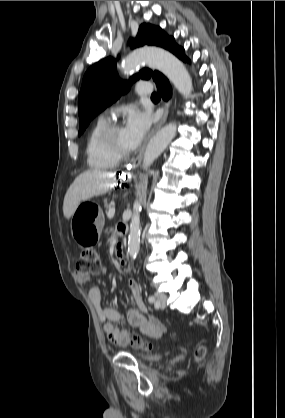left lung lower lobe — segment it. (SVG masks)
<instances>
[{
	"label": "left lung lower lobe",
	"instance_id": "1",
	"mask_svg": "<svg viewBox=\"0 0 285 418\" xmlns=\"http://www.w3.org/2000/svg\"><path fill=\"white\" fill-rule=\"evenodd\" d=\"M169 51L176 55L178 58L185 62H190L189 59L184 55V49L178 46L175 42L170 46ZM159 93L164 100H168L171 97L172 89L167 78L160 74L155 80Z\"/></svg>",
	"mask_w": 285,
	"mask_h": 418
}]
</instances>
